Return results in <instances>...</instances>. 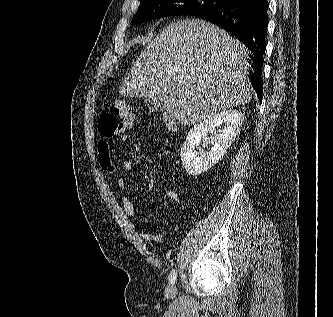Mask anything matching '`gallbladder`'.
<instances>
[{"label": "gallbladder", "instance_id": "bac80fb5", "mask_svg": "<svg viewBox=\"0 0 333 317\" xmlns=\"http://www.w3.org/2000/svg\"><path fill=\"white\" fill-rule=\"evenodd\" d=\"M145 104L152 112H163L168 104L167 96H155L152 98H145Z\"/></svg>", "mask_w": 333, "mask_h": 317}]
</instances>
